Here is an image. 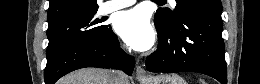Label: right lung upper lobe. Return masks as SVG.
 <instances>
[{"label": "right lung upper lobe", "instance_id": "right-lung-upper-lobe-1", "mask_svg": "<svg viewBox=\"0 0 260 84\" xmlns=\"http://www.w3.org/2000/svg\"><path fill=\"white\" fill-rule=\"evenodd\" d=\"M49 2L48 28L98 10L96 0H50Z\"/></svg>", "mask_w": 260, "mask_h": 84}]
</instances>
